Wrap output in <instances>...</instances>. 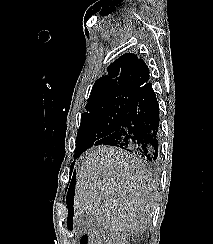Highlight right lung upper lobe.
Instances as JSON below:
<instances>
[{"instance_id": "1", "label": "right lung upper lobe", "mask_w": 213, "mask_h": 244, "mask_svg": "<svg viewBox=\"0 0 213 244\" xmlns=\"http://www.w3.org/2000/svg\"><path fill=\"white\" fill-rule=\"evenodd\" d=\"M108 73L97 79L88 102L98 98L128 94L137 96L149 82V68L135 54L125 53L111 63Z\"/></svg>"}]
</instances>
